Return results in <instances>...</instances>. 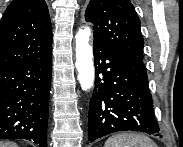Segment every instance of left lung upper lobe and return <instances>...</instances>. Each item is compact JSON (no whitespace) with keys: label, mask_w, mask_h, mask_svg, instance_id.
<instances>
[{"label":"left lung upper lobe","mask_w":183,"mask_h":147,"mask_svg":"<svg viewBox=\"0 0 183 147\" xmlns=\"http://www.w3.org/2000/svg\"><path fill=\"white\" fill-rule=\"evenodd\" d=\"M85 20L94 24V40L143 61L141 24L130 0H90Z\"/></svg>","instance_id":"left-lung-upper-lobe-1"}]
</instances>
